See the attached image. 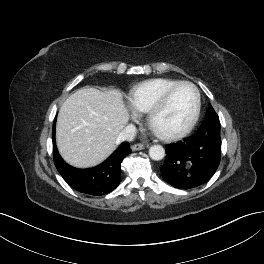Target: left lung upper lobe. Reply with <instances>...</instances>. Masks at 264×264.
<instances>
[{
  "mask_svg": "<svg viewBox=\"0 0 264 264\" xmlns=\"http://www.w3.org/2000/svg\"><path fill=\"white\" fill-rule=\"evenodd\" d=\"M203 124H210L213 125V127L218 126L220 128L219 117L211 105L208 107L206 112V120L203 122Z\"/></svg>",
  "mask_w": 264,
  "mask_h": 264,
  "instance_id": "5c2ea615",
  "label": "left lung upper lobe"
}]
</instances>
